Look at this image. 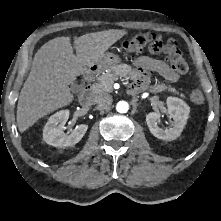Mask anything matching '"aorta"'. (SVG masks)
<instances>
[{"instance_id":"762f6f07","label":"aorta","mask_w":221,"mask_h":221,"mask_svg":"<svg viewBox=\"0 0 221 221\" xmlns=\"http://www.w3.org/2000/svg\"><path fill=\"white\" fill-rule=\"evenodd\" d=\"M116 110L119 113H126L129 110V104L126 101H119L116 105Z\"/></svg>"}]
</instances>
